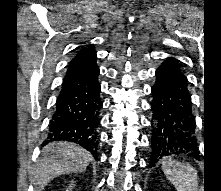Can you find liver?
Wrapping results in <instances>:
<instances>
[{"mask_svg": "<svg viewBox=\"0 0 221 191\" xmlns=\"http://www.w3.org/2000/svg\"><path fill=\"white\" fill-rule=\"evenodd\" d=\"M42 151L43 158L37 163L33 175L36 191H42L59 175L84 171L92 160L89 152L71 142L51 143Z\"/></svg>", "mask_w": 221, "mask_h": 191, "instance_id": "obj_1", "label": "liver"}]
</instances>
